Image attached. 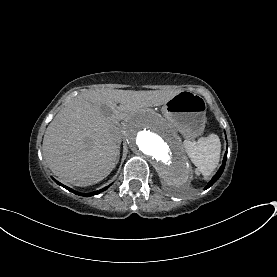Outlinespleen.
Segmentation results:
<instances>
[{
    "mask_svg": "<svg viewBox=\"0 0 277 277\" xmlns=\"http://www.w3.org/2000/svg\"><path fill=\"white\" fill-rule=\"evenodd\" d=\"M186 152L191 161L205 176L217 167L220 155V141L216 134L209 133L195 141L185 140Z\"/></svg>",
    "mask_w": 277,
    "mask_h": 277,
    "instance_id": "3e777b00",
    "label": "spleen"
}]
</instances>
